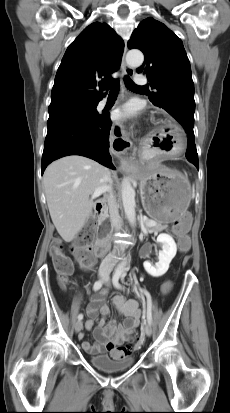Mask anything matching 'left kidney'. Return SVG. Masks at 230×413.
<instances>
[{"label": "left kidney", "mask_w": 230, "mask_h": 413, "mask_svg": "<svg viewBox=\"0 0 230 413\" xmlns=\"http://www.w3.org/2000/svg\"><path fill=\"white\" fill-rule=\"evenodd\" d=\"M157 242L162 244V251L159 253V262L152 265L150 262L146 261L143 264L146 272L153 277H160L167 272L169 264L177 252L176 243L169 234H159Z\"/></svg>", "instance_id": "5707ae66"}]
</instances>
